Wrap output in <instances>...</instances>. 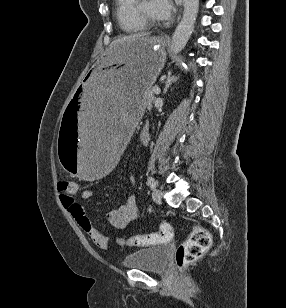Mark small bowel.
Returning <instances> with one entry per match:
<instances>
[{"label":"small bowel","mask_w":286,"mask_h":308,"mask_svg":"<svg viewBox=\"0 0 286 308\" xmlns=\"http://www.w3.org/2000/svg\"><path fill=\"white\" fill-rule=\"evenodd\" d=\"M132 180V178H130ZM91 190H83L80 197L83 200L92 197ZM62 203L75 219L80 228L87 234L91 241L101 249H107L110 246L108 235L98 230L90 221L85 213L84 207L77 203L73 198L62 197ZM138 217V203L134 195H130L126 202L116 209L109 211L107 219L111 225L118 229H126L128 225Z\"/></svg>","instance_id":"small-bowel-1"}]
</instances>
